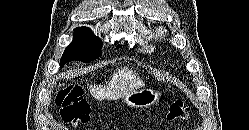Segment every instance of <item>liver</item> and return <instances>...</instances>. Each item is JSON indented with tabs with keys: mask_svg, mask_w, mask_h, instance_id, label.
Here are the masks:
<instances>
[{
	"mask_svg": "<svg viewBox=\"0 0 249 130\" xmlns=\"http://www.w3.org/2000/svg\"><path fill=\"white\" fill-rule=\"evenodd\" d=\"M145 83L140 79L136 70L129 69L128 66L118 68L110 77V82L104 87L99 85H89L92 96L99 101L114 100L123 97L141 87Z\"/></svg>",
	"mask_w": 249,
	"mask_h": 130,
	"instance_id": "1",
	"label": "liver"
}]
</instances>
